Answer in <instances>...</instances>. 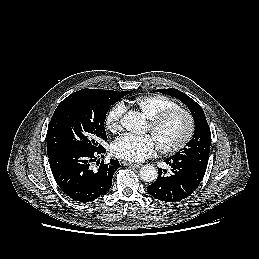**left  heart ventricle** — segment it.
Returning <instances> with one entry per match:
<instances>
[{
    "label": "left heart ventricle",
    "instance_id": "obj_1",
    "mask_svg": "<svg viewBox=\"0 0 259 259\" xmlns=\"http://www.w3.org/2000/svg\"><path fill=\"white\" fill-rule=\"evenodd\" d=\"M148 131L150 132L149 126ZM186 132V121L181 115H176L164 123L154 134L155 143L170 146L177 143Z\"/></svg>",
    "mask_w": 259,
    "mask_h": 259
}]
</instances>
